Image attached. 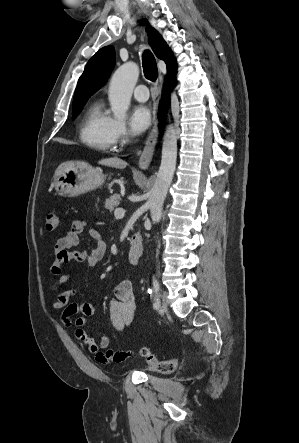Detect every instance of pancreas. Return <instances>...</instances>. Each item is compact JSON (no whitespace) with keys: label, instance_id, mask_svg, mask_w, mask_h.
Wrapping results in <instances>:
<instances>
[{"label":"pancreas","instance_id":"obj_1","mask_svg":"<svg viewBox=\"0 0 299 443\" xmlns=\"http://www.w3.org/2000/svg\"><path fill=\"white\" fill-rule=\"evenodd\" d=\"M120 201H121L120 195L114 194L106 200L105 208L110 212H112L115 209V207L120 205Z\"/></svg>","mask_w":299,"mask_h":443}]
</instances>
